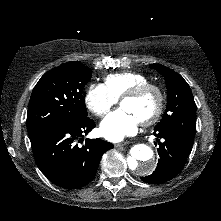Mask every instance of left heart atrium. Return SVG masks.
<instances>
[{
    "label": "left heart atrium",
    "mask_w": 221,
    "mask_h": 221,
    "mask_svg": "<svg viewBox=\"0 0 221 221\" xmlns=\"http://www.w3.org/2000/svg\"><path fill=\"white\" fill-rule=\"evenodd\" d=\"M139 119L125 108L111 112L100 124V133L107 140L122 141L136 133Z\"/></svg>",
    "instance_id": "left-heart-atrium-1"
}]
</instances>
